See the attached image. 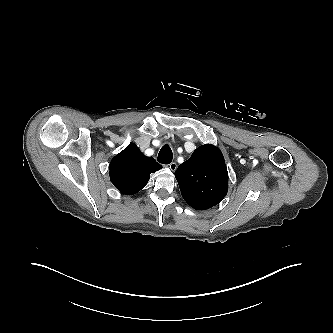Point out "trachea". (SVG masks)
<instances>
[{
  "label": "trachea",
  "instance_id": "obj_1",
  "mask_svg": "<svg viewBox=\"0 0 333 333\" xmlns=\"http://www.w3.org/2000/svg\"><path fill=\"white\" fill-rule=\"evenodd\" d=\"M173 154L169 145H164L158 154V161L162 164H170L172 162Z\"/></svg>",
  "mask_w": 333,
  "mask_h": 333
}]
</instances>
